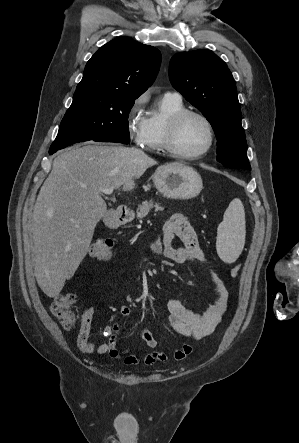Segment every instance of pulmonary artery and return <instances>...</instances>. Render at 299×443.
<instances>
[{
  "mask_svg": "<svg viewBox=\"0 0 299 443\" xmlns=\"http://www.w3.org/2000/svg\"><path fill=\"white\" fill-rule=\"evenodd\" d=\"M165 95L168 96V97L177 99V100H182V96L178 92H167Z\"/></svg>",
  "mask_w": 299,
  "mask_h": 443,
  "instance_id": "pulmonary-artery-1",
  "label": "pulmonary artery"
}]
</instances>
